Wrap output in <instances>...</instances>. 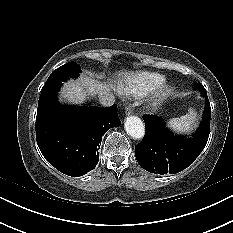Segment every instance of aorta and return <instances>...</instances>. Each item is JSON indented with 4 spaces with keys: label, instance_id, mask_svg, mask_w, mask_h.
<instances>
[{
    "label": "aorta",
    "instance_id": "obj_1",
    "mask_svg": "<svg viewBox=\"0 0 233 233\" xmlns=\"http://www.w3.org/2000/svg\"><path fill=\"white\" fill-rule=\"evenodd\" d=\"M125 130L133 139L140 140L145 135V126L137 116H128L124 124Z\"/></svg>",
    "mask_w": 233,
    "mask_h": 233
}]
</instances>
